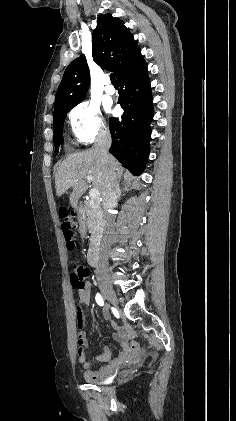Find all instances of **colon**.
<instances>
[{
	"instance_id": "obj_1",
	"label": "colon",
	"mask_w": 236,
	"mask_h": 421,
	"mask_svg": "<svg viewBox=\"0 0 236 421\" xmlns=\"http://www.w3.org/2000/svg\"><path fill=\"white\" fill-rule=\"evenodd\" d=\"M75 224L72 222H65L63 225L64 229V235L65 238L68 241V247L73 249L75 246L74 243V236H75ZM89 277H90V270L81 264H75L71 270L70 274V281L72 284V287L78 291H81L86 288V286L89 283ZM131 348L139 352V345L136 341L131 342ZM84 351L82 345L80 344V348L78 350L79 355L82 354Z\"/></svg>"
}]
</instances>
